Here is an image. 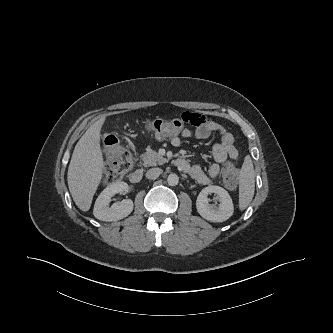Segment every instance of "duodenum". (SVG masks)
Returning <instances> with one entry per match:
<instances>
[{"instance_id": "duodenum-1", "label": "duodenum", "mask_w": 333, "mask_h": 333, "mask_svg": "<svg viewBox=\"0 0 333 333\" xmlns=\"http://www.w3.org/2000/svg\"><path fill=\"white\" fill-rule=\"evenodd\" d=\"M176 164L179 167H186L188 165L187 161L184 159H177ZM142 178H143L142 169H137V170L133 171L129 176L130 181L134 184L141 182Z\"/></svg>"}]
</instances>
